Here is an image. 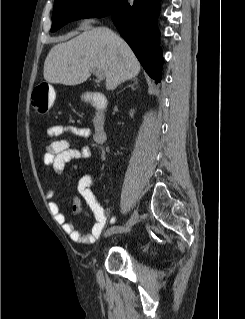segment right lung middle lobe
Returning a JSON list of instances; mask_svg holds the SVG:
<instances>
[{"instance_id":"obj_1","label":"right lung middle lobe","mask_w":245,"mask_h":319,"mask_svg":"<svg viewBox=\"0 0 245 319\" xmlns=\"http://www.w3.org/2000/svg\"><path fill=\"white\" fill-rule=\"evenodd\" d=\"M120 0H55L51 32L70 21L107 16Z\"/></svg>"}]
</instances>
